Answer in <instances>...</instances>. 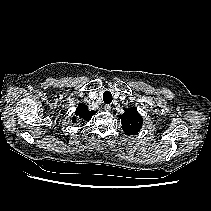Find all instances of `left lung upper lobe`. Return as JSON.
Listing matches in <instances>:
<instances>
[{"instance_id":"1","label":"left lung upper lobe","mask_w":211,"mask_h":211,"mask_svg":"<svg viewBox=\"0 0 211 211\" xmlns=\"http://www.w3.org/2000/svg\"><path fill=\"white\" fill-rule=\"evenodd\" d=\"M119 117L126 135H135L142 128L143 119L135 107L126 109L125 113Z\"/></svg>"}]
</instances>
